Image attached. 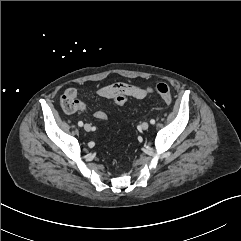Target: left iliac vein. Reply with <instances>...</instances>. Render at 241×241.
Instances as JSON below:
<instances>
[{
    "instance_id": "obj_1",
    "label": "left iliac vein",
    "mask_w": 241,
    "mask_h": 241,
    "mask_svg": "<svg viewBox=\"0 0 241 241\" xmlns=\"http://www.w3.org/2000/svg\"><path fill=\"white\" fill-rule=\"evenodd\" d=\"M141 128H142L143 130H147V129L149 128V124H148L147 122H143V123L141 124Z\"/></svg>"
}]
</instances>
